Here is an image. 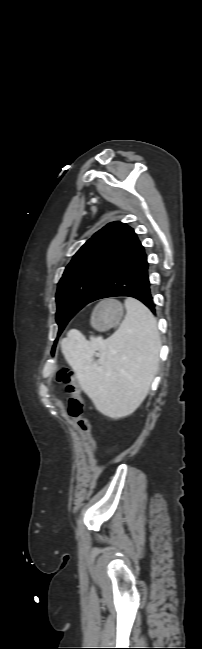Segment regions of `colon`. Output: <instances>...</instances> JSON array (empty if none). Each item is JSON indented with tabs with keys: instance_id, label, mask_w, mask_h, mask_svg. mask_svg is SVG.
Returning a JSON list of instances; mask_svg holds the SVG:
<instances>
[{
	"instance_id": "5ec220e1",
	"label": "colon",
	"mask_w": 202,
	"mask_h": 649,
	"mask_svg": "<svg viewBox=\"0 0 202 649\" xmlns=\"http://www.w3.org/2000/svg\"><path fill=\"white\" fill-rule=\"evenodd\" d=\"M57 381L64 384L65 391L68 394L67 411L69 416L74 420L78 432L86 439L88 447L93 450L94 441L91 436V424L84 417V400L74 371L68 366H62L58 370Z\"/></svg>"
}]
</instances>
